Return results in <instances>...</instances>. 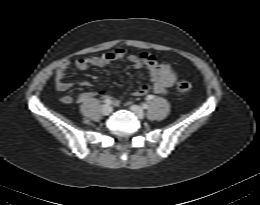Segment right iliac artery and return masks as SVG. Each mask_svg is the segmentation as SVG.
I'll use <instances>...</instances> for the list:
<instances>
[{"instance_id":"1","label":"right iliac artery","mask_w":260,"mask_h":205,"mask_svg":"<svg viewBox=\"0 0 260 205\" xmlns=\"http://www.w3.org/2000/svg\"><path fill=\"white\" fill-rule=\"evenodd\" d=\"M104 103L110 104V100H109V99H105V100H104Z\"/></svg>"}]
</instances>
